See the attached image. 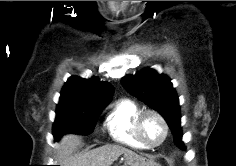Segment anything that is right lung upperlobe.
<instances>
[{"label":"right lung upper lobe","mask_w":236,"mask_h":166,"mask_svg":"<svg viewBox=\"0 0 236 166\" xmlns=\"http://www.w3.org/2000/svg\"><path fill=\"white\" fill-rule=\"evenodd\" d=\"M113 95V86L97 77L86 79L71 76L61 91L59 103H74L88 106H107Z\"/></svg>","instance_id":"right-lung-upper-lobe-1"}]
</instances>
